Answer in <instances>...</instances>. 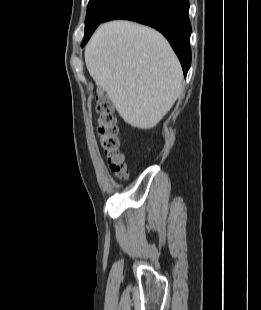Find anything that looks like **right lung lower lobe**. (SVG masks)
I'll use <instances>...</instances> for the list:
<instances>
[{"mask_svg": "<svg viewBox=\"0 0 261 310\" xmlns=\"http://www.w3.org/2000/svg\"><path fill=\"white\" fill-rule=\"evenodd\" d=\"M112 19H129L159 30L177 54L186 76L191 65L188 0H126L103 22ZM93 32L86 33L81 46L87 43Z\"/></svg>", "mask_w": 261, "mask_h": 310, "instance_id": "98d812e1", "label": "right lung lower lobe"}]
</instances>
